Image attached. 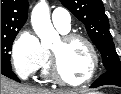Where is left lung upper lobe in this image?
Segmentation results:
<instances>
[{"label":"left lung upper lobe","mask_w":121,"mask_h":94,"mask_svg":"<svg viewBox=\"0 0 121 94\" xmlns=\"http://www.w3.org/2000/svg\"><path fill=\"white\" fill-rule=\"evenodd\" d=\"M86 26L92 42L101 52L107 71H121V63L109 31V21L101 0H60Z\"/></svg>","instance_id":"obj_1"}]
</instances>
